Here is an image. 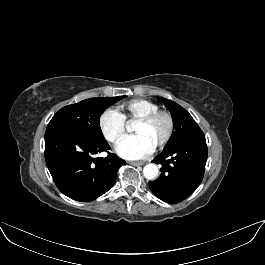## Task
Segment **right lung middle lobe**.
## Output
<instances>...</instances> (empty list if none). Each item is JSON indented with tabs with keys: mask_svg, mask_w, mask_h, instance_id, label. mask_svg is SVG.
<instances>
[{
	"mask_svg": "<svg viewBox=\"0 0 265 265\" xmlns=\"http://www.w3.org/2000/svg\"><path fill=\"white\" fill-rule=\"evenodd\" d=\"M123 97L90 98L65 106L53 116L46 131L70 130L93 139H103L99 125L100 116L109 106Z\"/></svg>",
	"mask_w": 265,
	"mask_h": 265,
	"instance_id": "right-lung-middle-lobe-1",
	"label": "right lung middle lobe"
}]
</instances>
